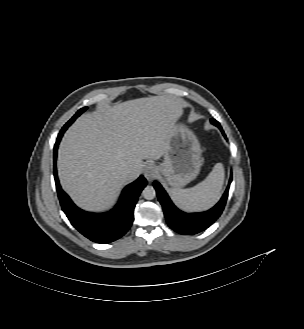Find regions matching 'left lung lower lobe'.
<instances>
[{
    "mask_svg": "<svg viewBox=\"0 0 304 329\" xmlns=\"http://www.w3.org/2000/svg\"><path fill=\"white\" fill-rule=\"evenodd\" d=\"M211 123L217 126L221 130L224 137L226 138L220 124L214 119H211ZM231 181H232V174L230 175L228 187L225 193L223 194L222 198L220 199V201L210 210L201 213H185L180 211L172 203L168 194L160 185V183L154 182V188L156 189L158 200L160 201L163 207L164 215L168 225L174 231L180 234L192 235L205 230L219 218V216L224 210L228 198V191Z\"/></svg>",
    "mask_w": 304,
    "mask_h": 329,
    "instance_id": "0a47b994",
    "label": "left lung lower lobe"
}]
</instances>
